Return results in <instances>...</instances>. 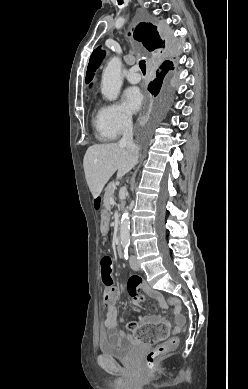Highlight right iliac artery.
I'll use <instances>...</instances> for the list:
<instances>
[{"mask_svg": "<svg viewBox=\"0 0 248 389\" xmlns=\"http://www.w3.org/2000/svg\"><path fill=\"white\" fill-rule=\"evenodd\" d=\"M124 258L127 260L128 259V249L125 248V251H124Z\"/></svg>", "mask_w": 248, "mask_h": 389, "instance_id": "82829eb1", "label": "right iliac artery"}]
</instances>
